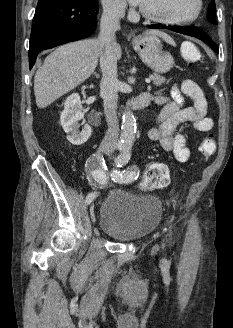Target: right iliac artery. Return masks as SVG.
<instances>
[{
    "label": "right iliac artery",
    "mask_w": 233,
    "mask_h": 328,
    "mask_svg": "<svg viewBox=\"0 0 233 328\" xmlns=\"http://www.w3.org/2000/svg\"><path fill=\"white\" fill-rule=\"evenodd\" d=\"M118 149L121 150L122 146H118ZM86 168L88 172L87 177L91 185L97 188H104L105 186L109 185L103 155L101 156L100 154H93L88 159ZM96 196V192L89 193L86 197V203L90 204Z\"/></svg>",
    "instance_id": "right-iliac-artery-1"
}]
</instances>
